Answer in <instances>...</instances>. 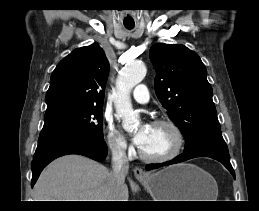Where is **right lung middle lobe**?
I'll return each mask as SVG.
<instances>
[{"mask_svg":"<svg viewBox=\"0 0 259 211\" xmlns=\"http://www.w3.org/2000/svg\"><path fill=\"white\" fill-rule=\"evenodd\" d=\"M102 106H93L44 123L40 137L59 134H79L93 138H103Z\"/></svg>","mask_w":259,"mask_h":211,"instance_id":"dd1d6c3e","label":"right lung middle lobe"}]
</instances>
